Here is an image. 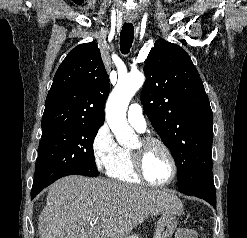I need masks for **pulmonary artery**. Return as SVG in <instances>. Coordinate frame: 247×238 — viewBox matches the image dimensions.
<instances>
[{
	"label": "pulmonary artery",
	"mask_w": 247,
	"mask_h": 238,
	"mask_svg": "<svg viewBox=\"0 0 247 238\" xmlns=\"http://www.w3.org/2000/svg\"><path fill=\"white\" fill-rule=\"evenodd\" d=\"M127 120L138 131L142 132L146 128V121L143 115L142 108L137 103H133L129 106L127 111Z\"/></svg>",
	"instance_id": "1"
}]
</instances>
